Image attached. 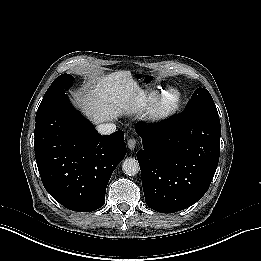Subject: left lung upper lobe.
Masks as SVG:
<instances>
[{
    "label": "left lung upper lobe",
    "instance_id": "left-lung-upper-lobe-1",
    "mask_svg": "<svg viewBox=\"0 0 261 261\" xmlns=\"http://www.w3.org/2000/svg\"><path fill=\"white\" fill-rule=\"evenodd\" d=\"M191 110H202L218 113L210 93L204 88L196 89L187 103L185 111Z\"/></svg>",
    "mask_w": 261,
    "mask_h": 261
}]
</instances>
